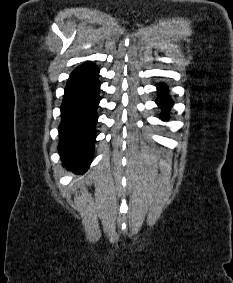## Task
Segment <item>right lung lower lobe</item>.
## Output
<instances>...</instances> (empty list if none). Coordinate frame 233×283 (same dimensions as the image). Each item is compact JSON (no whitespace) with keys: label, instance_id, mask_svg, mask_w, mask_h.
Instances as JSON below:
<instances>
[{"label":"right lung lower lobe","instance_id":"1","mask_svg":"<svg viewBox=\"0 0 233 283\" xmlns=\"http://www.w3.org/2000/svg\"><path fill=\"white\" fill-rule=\"evenodd\" d=\"M99 69L91 62L70 75L61 105L59 150L63 166L83 173L93 157L99 103Z\"/></svg>","mask_w":233,"mask_h":283}]
</instances>
